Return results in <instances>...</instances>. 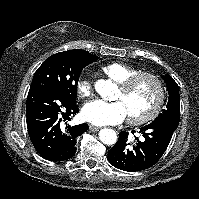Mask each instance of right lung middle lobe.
<instances>
[{"mask_svg":"<svg viewBox=\"0 0 199 199\" xmlns=\"http://www.w3.org/2000/svg\"><path fill=\"white\" fill-rule=\"evenodd\" d=\"M98 58L90 53L82 56L56 53L36 70L30 89L48 86L76 102L80 73L85 66Z\"/></svg>","mask_w":199,"mask_h":199,"instance_id":"1","label":"right lung middle lobe"}]
</instances>
